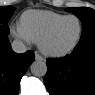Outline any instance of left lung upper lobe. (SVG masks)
<instances>
[{"label":"left lung upper lobe","mask_w":95,"mask_h":95,"mask_svg":"<svg viewBox=\"0 0 95 95\" xmlns=\"http://www.w3.org/2000/svg\"><path fill=\"white\" fill-rule=\"evenodd\" d=\"M68 10L76 14L82 21V35L80 39L95 35V10L83 7L68 8Z\"/></svg>","instance_id":"5c2ea615"}]
</instances>
